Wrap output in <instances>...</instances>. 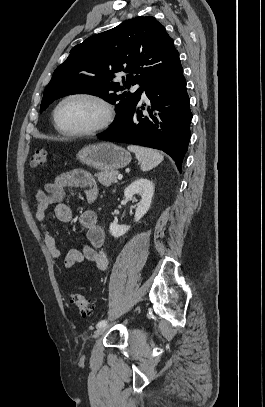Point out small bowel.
Here are the masks:
<instances>
[{
    "instance_id": "obj_1",
    "label": "small bowel",
    "mask_w": 265,
    "mask_h": 407,
    "mask_svg": "<svg viewBox=\"0 0 265 407\" xmlns=\"http://www.w3.org/2000/svg\"><path fill=\"white\" fill-rule=\"evenodd\" d=\"M67 188H75L85 193L89 201L97 196V184L94 177L85 170L75 169L56 177L53 182L46 183L43 189L35 193V219L44 235L45 245L50 255L60 261L66 270H70L77 263L92 262L95 267L104 271L108 267V258L102 246L105 242V232L99 224L97 215L92 210H87L80 216V225L86 231V242L78 244L77 248L68 251L65 257L61 253L55 237L45 222L46 210L54 206V214L60 222L72 220V208L63 202Z\"/></svg>"
}]
</instances>
